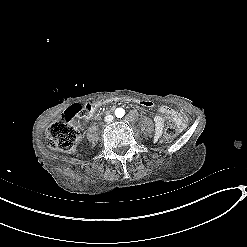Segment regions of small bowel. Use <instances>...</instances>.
Returning a JSON list of instances; mask_svg holds the SVG:
<instances>
[{
    "instance_id": "1",
    "label": "small bowel",
    "mask_w": 247,
    "mask_h": 247,
    "mask_svg": "<svg viewBox=\"0 0 247 247\" xmlns=\"http://www.w3.org/2000/svg\"><path fill=\"white\" fill-rule=\"evenodd\" d=\"M158 110L160 113L154 117L156 135H161V132L168 121L176 123L179 128L184 127L185 119L181 112L165 106L159 107ZM90 117L91 114L87 119Z\"/></svg>"
}]
</instances>
